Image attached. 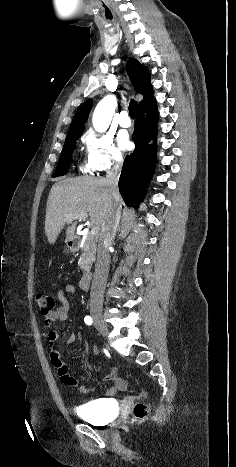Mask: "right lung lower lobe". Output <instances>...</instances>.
Segmentation results:
<instances>
[{
  "label": "right lung lower lobe",
  "mask_w": 236,
  "mask_h": 467,
  "mask_svg": "<svg viewBox=\"0 0 236 467\" xmlns=\"http://www.w3.org/2000/svg\"><path fill=\"white\" fill-rule=\"evenodd\" d=\"M158 112L156 101L138 109L132 138L136 149L125 158L119 178V191L128 207L137 209L142 200L144 187L155 167L156 145H148L156 138Z\"/></svg>",
  "instance_id": "98d812e1"
}]
</instances>
